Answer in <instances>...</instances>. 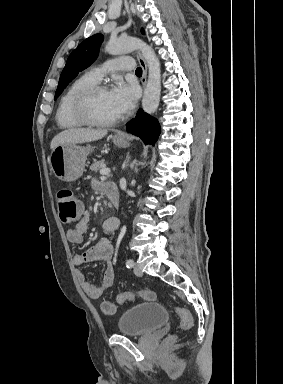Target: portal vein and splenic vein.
I'll list each match as a JSON object with an SVG mask.
<instances>
[{"label": "portal vein and splenic vein", "instance_id": "1", "mask_svg": "<svg viewBox=\"0 0 283 384\" xmlns=\"http://www.w3.org/2000/svg\"><path fill=\"white\" fill-rule=\"evenodd\" d=\"M100 174L101 178H105V176H108V174H110L109 168H102V170H100Z\"/></svg>", "mask_w": 283, "mask_h": 384}]
</instances>
